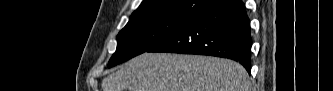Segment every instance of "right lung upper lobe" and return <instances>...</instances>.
I'll return each mask as SVG.
<instances>
[{
    "label": "right lung upper lobe",
    "instance_id": "1",
    "mask_svg": "<svg viewBox=\"0 0 333 91\" xmlns=\"http://www.w3.org/2000/svg\"><path fill=\"white\" fill-rule=\"evenodd\" d=\"M205 0H144L130 19L147 16H177L194 18L205 8ZM218 1V0H215Z\"/></svg>",
    "mask_w": 333,
    "mask_h": 91
}]
</instances>
